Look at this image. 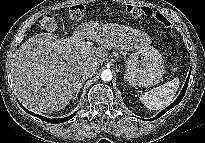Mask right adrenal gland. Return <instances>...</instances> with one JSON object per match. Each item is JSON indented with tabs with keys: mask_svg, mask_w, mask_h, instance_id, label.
<instances>
[{
	"mask_svg": "<svg viewBox=\"0 0 205 143\" xmlns=\"http://www.w3.org/2000/svg\"><path fill=\"white\" fill-rule=\"evenodd\" d=\"M86 80H87V79L84 78V79H82V80L80 81V83H79V85H78V88H77V91H76V93H75V97H73V98H76V97L78 96V93L80 92V89H81L82 85L84 84V82H85Z\"/></svg>",
	"mask_w": 205,
	"mask_h": 143,
	"instance_id": "1",
	"label": "right adrenal gland"
}]
</instances>
